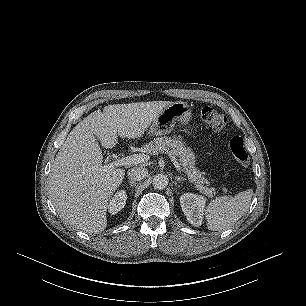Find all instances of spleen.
<instances>
[{"label":"spleen","mask_w":306,"mask_h":306,"mask_svg":"<svg viewBox=\"0 0 306 306\" xmlns=\"http://www.w3.org/2000/svg\"><path fill=\"white\" fill-rule=\"evenodd\" d=\"M253 190L236 194L234 197L222 196L212 200L204 210L209 230H224L234 225L248 210Z\"/></svg>","instance_id":"spleen-1"}]
</instances>
